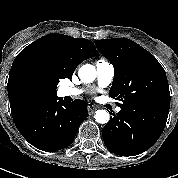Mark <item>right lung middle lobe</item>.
I'll list each match as a JSON object with an SVG mask.
<instances>
[{
    "mask_svg": "<svg viewBox=\"0 0 178 178\" xmlns=\"http://www.w3.org/2000/svg\"><path fill=\"white\" fill-rule=\"evenodd\" d=\"M59 80L43 71L30 69L23 76L22 87L29 99L54 97Z\"/></svg>",
    "mask_w": 178,
    "mask_h": 178,
    "instance_id": "dd1d6c3e",
    "label": "right lung middle lobe"
}]
</instances>
